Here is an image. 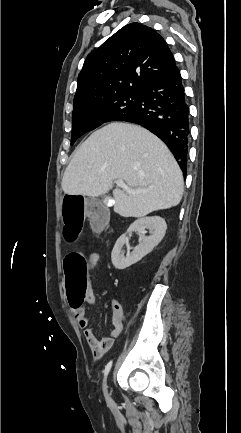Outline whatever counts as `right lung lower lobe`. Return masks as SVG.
Segmentation results:
<instances>
[{"instance_id": "98d812e1", "label": "right lung lower lobe", "mask_w": 241, "mask_h": 433, "mask_svg": "<svg viewBox=\"0 0 241 433\" xmlns=\"http://www.w3.org/2000/svg\"><path fill=\"white\" fill-rule=\"evenodd\" d=\"M120 120L139 124L157 135L186 174L189 108L177 66L145 85L138 106Z\"/></svg>"}]
</instances>
